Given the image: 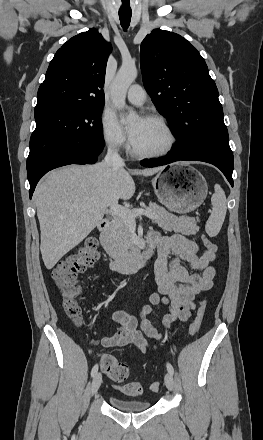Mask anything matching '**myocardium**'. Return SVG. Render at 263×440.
<instances>
[{"instance_id":"obj_1","label":"myocardium","mask_w":263,"mask_h":440,"mask_svg":"<svg viewBox=\"0 0 263 440\" xmlns=\"http://www.w3.org/2000/svg\"><path fill=\"white\" fill-rule=\"evenodd\" d=\"M144 119L156 122L162 126L168 135V143L163 149L152 152H143L136 149L133 142H131L132 155L138 158H159L170 154L175 149L178 140L171 124L164 117L156 114L147 115Z\"/></svg>"}]
</instances>
